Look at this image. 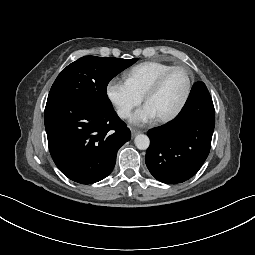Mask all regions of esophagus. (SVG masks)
<instances>
[{
	"mask_svg": "<svg viewBox=\"0 0 255 255\" xmlns=\"http://www.w3.org/2000/svg\"><path fill=\"white\" fill-rule=\"evenodd\" d=\"M139 133H140V131L137 130V129H132V130H131V134H132L133 137H134L135 135L139 134Z\"/></svg>",
	"mask_w": 255,
	"mask_h": 255,
	"instance_id": "esophagus-1",
	"label": "esophagus"
}]
</instances>
